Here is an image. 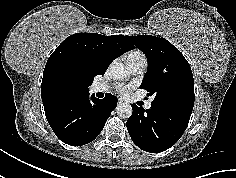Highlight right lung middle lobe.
Returning a JSON list of instances; mask_svg holds the SVG:
<instances>
[{"label":"right lung middle lobe","mask_w":236,"mask_h":178,"mask_svg":"<svg viewBox=\"0 0 236 178\" xmlns=\"http://www.w3.org/2000/svg\"><path fill=\"white\" fill-rule=\"evenodd\" d=\"M92 81V79L88 80L86 82V85H91ZM80 83H82V79L80 76L73 73H67L60 77L58 81V88L61 92H69L76 88Z\"/></svg>","instance_id":"obj_1"}]
</instances>
